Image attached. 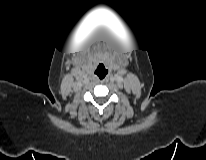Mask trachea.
Instances as JSON below:
<instances>
[{"instance_id": "trachea-1", "label": "trachea", "mask_w": 206, "mask_h": 160, "mask_svg": "<svg viewBox=\"0 0 206 160\" xmlns=\"http://www.w3.org/2000/svg\"><path fill=\"white\" fill-rule=\"evenodd\" d=\"M96 74L99 76L100 79H103L106 75V72L100 74L98 71H96Z\"/></svg>"}]
</instances>
